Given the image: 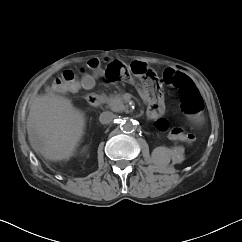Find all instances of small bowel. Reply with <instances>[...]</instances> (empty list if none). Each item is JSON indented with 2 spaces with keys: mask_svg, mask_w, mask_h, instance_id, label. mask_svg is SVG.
<instances>
[{
  "mask_svg": "<svg viewBox=\"0 0 242 242\" xmlns=\"http://www.w3.org/2000/svg\"><path fill=\"white\" fill-rule=\"evenodd\" d=\"M140 63H143V62H140ZM119 64L121 65V67L122 68H125L127 65H125V64H123V63H121V62H119ZM167 70H171V71H176L175 69H172V68H169V69H167ZM166 70V71H167ZM165 71V72H166ZM124 78H126L127 80H129L130 82H133V79L132 78H130V77H124ZM83 87L84 88H92L93 87V85H94V83H95V78L94 77H92V76H86L85 78H84V80H83ZM141 93H142V95L144 96V97H147V95H146V92H145V89H142V91H141ZM161 108H162V106L160 105V104H157L156 105V107H155V112H158V111H160L161 110ZM189 120L191 121V122H193V123H195V124H197L198 123V117L197 116H195V115H191L190 117H189ZM192 135L191 134H187V136H185V142H189V140H188V137H191Z\"/></svg>",
  "mask_w": 242,
  "mask_h": 242,
  "instance_id": "1",
  "label": "small bowel"
}]
</instances>
